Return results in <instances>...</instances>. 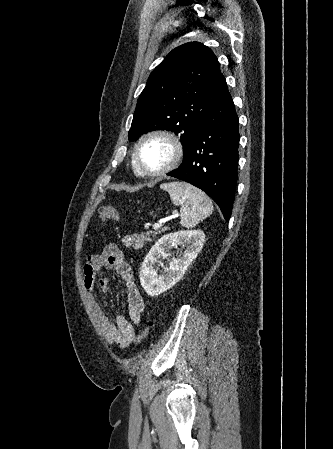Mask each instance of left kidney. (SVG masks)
I'll return each mask as SVG.
<instances>
[{
  "instance_id": "1",
  "label": "left kidney",
  "mask_w": 333,
  "mask_h": 449,
  "mask_svg": "<svg viewBox=\"0 0 333 449\" xmlns=\"http://www.w3.org/2000/svg\"><path fill=\"white\" fill-rule=\"evenodd\" d=\"M205 234L202 230L178 231L162 236L150 249L140 270V282L146 293L158 296L174 286L184 275L188 266L202 250ZM181 246L179 258H173L168 268H164L165 275L158 274L154 265L160 258L168 256L169 250Z\"/></svg>"
}]
</instances>
